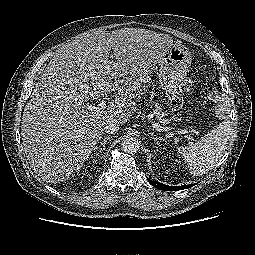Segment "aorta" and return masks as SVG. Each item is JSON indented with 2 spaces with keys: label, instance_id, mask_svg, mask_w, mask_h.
Returning <instances> with one entry per match:
<instances>
[{
  "label": "aorta",
  "instance_id": "aorta-1",
  "mask_svg": "<svg viewBox=\"0 0 255 255\" xmlns=\"http://www.w3.org/2000/svg\"><path fill=\"white\" fill-rule=\"evenodd\" d=\"M122 148L127 153H135L139 150V141L132 136H126L122 141Z\"/></svg>",
  "mask_w": 255,
  "mask_h": 255
}]
</instances>
